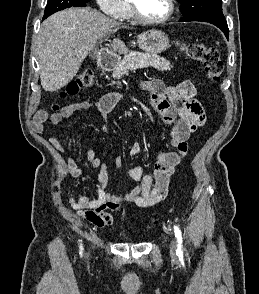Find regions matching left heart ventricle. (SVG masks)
<instances>
[{"label":"left heart ventricle","instance_id":"b2bd125f","mask_svg":"<svg viewBox=\"0 0 259 294\" xmlns=\"http://www.w3.org/2000/svg\"><path fill=\"white\" fill-rule=\"evenodd\" d=\"M141 13L148 18H160L167 13V0H133Z\"/></svg>","mask_w":259,"mask_h":294}]
</instances>
